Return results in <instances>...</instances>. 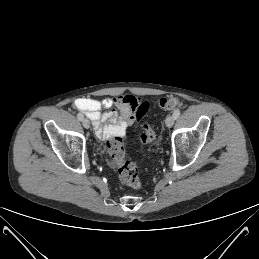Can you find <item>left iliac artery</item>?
Segmentation results:
<instances>
[{
	"mask_svg": "<svg viewBox=\"0 0 259 259\" xmlns=\"http://www.w3.org/2000/svg\"><path fill=\"white\" fill-rule=\"evenodd\" d=\"M180 115V110L179 109H176L174 112H173V116L175 119H177Z\"/></svg>",
	"mask_w": 259,
	"mask_h": 259,
	"instance_id": "1",
	"label": "left iliac artery"
}]
</instances>
